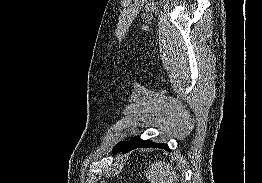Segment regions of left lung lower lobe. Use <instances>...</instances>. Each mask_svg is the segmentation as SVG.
I'll use <instances>...</instances> for the list:
<instances>
[{
    "label": "left lung lower lobe",
    "instance_id": "obj_1",
    "mask_svg": "<svg viewBox=\"0 0 262 183\" xmlns=\"http://www.w3.org/2000/svg\"><path fill=\"white\" fill-rule=\"evenodd\" d=\"M139 147H153V148H164L166 150H169L167 144H159V143H153L151 141H144L140 139L139 136L133 137L129 142L125 141L122 143H119L116 145V147L113 149V152H119L123 151V153L129 152L132 149L139 148Z\"/></svg>",
    "mask_w": 262,
    "mask_h": 183
}]
</instances>
